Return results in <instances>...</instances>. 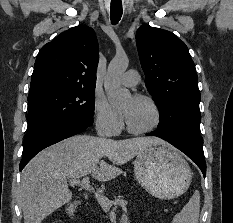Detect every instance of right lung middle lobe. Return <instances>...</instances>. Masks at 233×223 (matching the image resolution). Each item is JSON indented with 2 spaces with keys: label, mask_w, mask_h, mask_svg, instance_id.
<instances>
[{
  "label": "right lung middle lobe",
  "mask_w": 233,
  "mask_h": 223,
  "mask_svg": "<svg viewBox=\"0 0 233 223\" xmlns=\"http://www.w3.org/2000/svg\"><path fill=\"white\" fill-rule=\"evenodd\" d=\"M94 88H52L29 94L28 130L24 142L65 120L94 115Z\"/></svg>",
  "instance_id": "dd1d6c3e"
}]
</instances>
